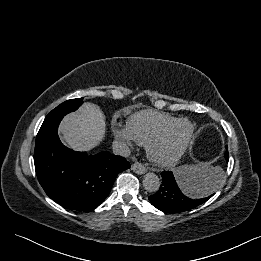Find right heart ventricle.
Wrapping results in <instances>:
<instances>
[{
    "label": "right heart ventricle",
    "instance_id": "right-heart-ventricle-1",
    "mask_svg": "<svg viewBox=\"0 0 261 261\" xmlns=\"http://www.w3.org/2000/svg\"><path fill=\"white\" fill-rule=\"evenodd\" d=\"M178 118L153 110H143L131 115L127 121V128L134 141L141 145H148L165 128Z\"/></svg>",
    "mask_w": 261,
    "mask_h": 261
}]
</instances>
